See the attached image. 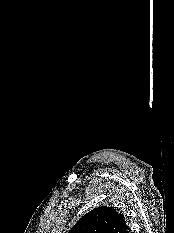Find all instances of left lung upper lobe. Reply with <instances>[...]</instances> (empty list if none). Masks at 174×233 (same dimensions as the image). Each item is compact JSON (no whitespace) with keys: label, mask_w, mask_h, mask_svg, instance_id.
<instances>
[{"label":"left lung upper lobe","mask_w":174,"mask_h":233,"mask_svg":"<svg viewBox=\"0 0 174 233\" xmlns=\"http://www.w3.org/2000/svg\"><path fill=\"white\" fill-rule=\"evenodd\" d=\"M128 228L122 214L101 206L82 216L68 233H124Z\"/></svg>","instance_id":"left-lung-upper-lobe-1"}]
</instances>
